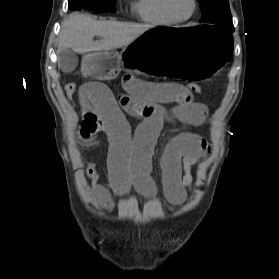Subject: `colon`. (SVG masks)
<instances>
[{"label":"colon","mask_w":279,"mask_h":279,"mask_svg":"<svg viewBox=\"0 0 279 279\" xmlns=\"http://www.w3.org/2000/svg\"><path fill=\"white\" fill-rule=\"evenodd\" d=\"M190 94H197L201 92V86L197 83H191L186 87ZM65 93L68 98L74 97L78 93V87L75 83H68L65 85Z\"/></svg>","instance_id":"5ec220e1"}]
</instances>
